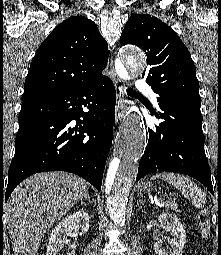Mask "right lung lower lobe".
I'll use <instances>...</instances> for the list:
<instances>
[{
	"label": "right lung lower lobe",
	"instance_id": "1",
	"mask_svg": "<svg viewBox=\"0 0 221 255\" xmlns=\"http://www.w3.org/2000/svg\"><path fill=\"white\" fill-rule=\"evenodd\" d=\"M115 100L113 82L102 76L76 89L23 101L5 201L25 178L46 171L75 173L100 191Z\"/></svg>",
	"mask_w": 221,
	"mask_h": 255
}]
</instances>
